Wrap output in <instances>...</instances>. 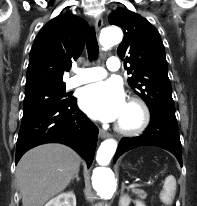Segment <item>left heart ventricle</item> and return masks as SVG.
<instances>
[{"instance_id":"left-heart-ventricle-1","label":"left heart ventricle","mask_w":197,"mask_h":206,"mask_svg":"<svg viewBox=\"0 0 197 206\" xmlns=\"http://www.w3.org/2000/svg\"><path fill=\"white\" fill-rule=\"evenodd\" d=\"M138 114L136 110L127 105L123 116L121 117L120 121L127 125H132L137 121Z\"/></svg>"}]
</instances>
